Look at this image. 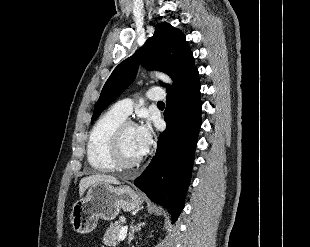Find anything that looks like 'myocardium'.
I'll return each instance as SVG.
<instances>
[{
	"mask_svg": "<svg viewBox=\"0 0 310 247\" xmlns=\"http://www.w3.org/2000/svg\"><path fill=\"white\" fill-rule=\"evenodd\" d=\"M136 126L132 121H123L114 131L109 155L114 167L117 169H132L139 166L143 162V156L134 161H127L123 155V138L128 127Z\"/></svg>",
	"mask_w": 310,
	"mask_h": 247,
	"instance_id": "myocardium-1",
	"label": "myocardium"
}]
</instances>
